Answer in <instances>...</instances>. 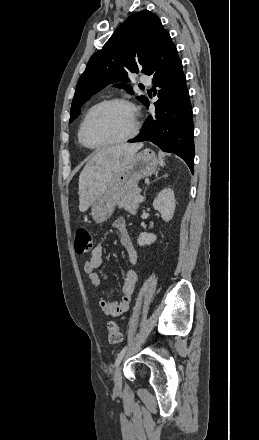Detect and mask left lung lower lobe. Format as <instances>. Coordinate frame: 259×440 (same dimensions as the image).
<instances>
[{
    "label": "left lung lower lobe",
    "mask_w": 259,
    "mask_h": 440,
    "mask_svg": "<svg viewBox=\"0 0 259 440\" xmlns=\"http://www.w3.org/2000/svg\"><path fill=\"white\" fill-rule=\"evenodd\" d=\"M147 75L153 79L155 113L148 116L144 126L130 142L150 141L162 151L175 153L194 171L193 119L182 62L170 35L152 62ZM144 105L149 106L147 100Z\"/></svg>",
    "instance_id": "1"
}]
</instances>
